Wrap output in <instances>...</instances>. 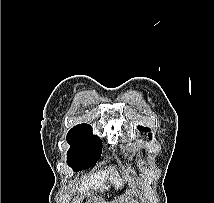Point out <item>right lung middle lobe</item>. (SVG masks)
<instances>
[{"label": "right lung middle lobe", "instance_id": "obj_1", "mask_svg": "<svg viewBox=\"0 0 214 203\" xmlns=\"http://www.w3.org/2000/svg\"><path fill=\"white\" fill-rule=\"evenodd\" d=\"M70 149L67 152V164L79 171L95 166L102 153L100 139L93 135L88 124L74 126L67 134Z\"/></svg>", "mask_w": 214, "mask_h": 203}]
</instances>
